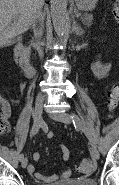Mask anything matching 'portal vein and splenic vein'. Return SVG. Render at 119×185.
Wrapping results in <instances>:
<instances>
[{
    "instance_id": "portal-vein-and-splenic-vein-1",
    "label": "portal vein and splenic vein",
    "mask_w": 119,
    "mask_h": 185,
    "mask_svg": "<svg viewBox=\"0 0 119 185\" xmlns=\"http://www.w3.org/2000/svg\"><path fill=\"white\" fill-rule=\"evenodd\" d=\"M81 14H77L76 16L79 17Z\"/></svg>"
}]
</instances>
